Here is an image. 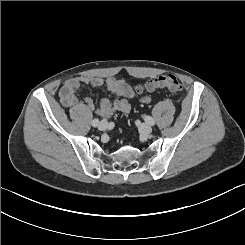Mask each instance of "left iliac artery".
I'll list each match as a JSON object with an SVG mask.
<instances>
[{
	"instance_id": "obj_1",
	"label": "left iliac artery",
	"mask_w": 245,
	"mask_h": 245,
	"mask_svg": "<svg viewBox=\"0 0 245 245\" xmlns=\"http://www.w3.org/2000/svg\"><path fill=\"white\" fill-rule=\"evenodd\" d=\"M145 121L151 126L155 124V120L150 116H145Z\"/></svg>"
}]
</instances>
